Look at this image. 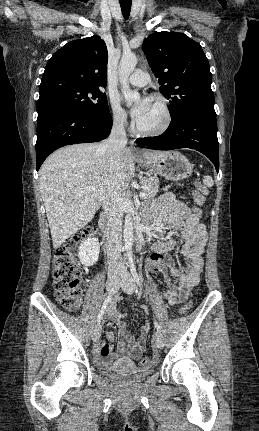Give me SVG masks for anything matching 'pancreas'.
Masks as SVG:
<instances>
[{
    "mask_svg": "<svg viewBox=\"0 0 259 431\" xmlns=\"http://www.w3.org/2000/svg\"><path fill=\"white\" fill-rule=\"evenodd\" d=\"M140 184L143 187L146 198H153L159 189V179L157 177H148L140 180Z\"/></svg>",
    "mask_w": 259,
    "mask_h": 431,
    "instance_id": "1",
    "label": "pancreas"
}]
</instances>
